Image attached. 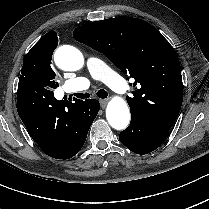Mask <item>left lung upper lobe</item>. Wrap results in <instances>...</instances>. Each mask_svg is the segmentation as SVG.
<instances>
[{"label": "left lung upper lobe", "instance_id": "obj_1", "mask_svg": "<svg viewBox=\"0 0 209 209\" xmlns=\"http://www.w3.org/2000/svg\"><path fill=\"white\" fill-rule=\"evenodd\" d=\"M73 37L134 78L137 88L133 97H126L131 113L159 127H172L183 101L181 68L173 47L155 27L119 16L77 27Z\"/></svg>", "mask_w": 209, "mask_h": 209}]
</instances>
